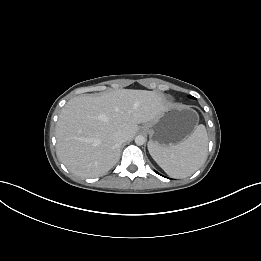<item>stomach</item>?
<instances>
[{"instance_id": "0dacf381", "label": "stomach", "mask_w": 261, "mask_h": 261, "mask_svg": "<svg viewBox=\"0 0 261 261\" xmlns=\"http://www.w3.org/2000/svg\"><path fill=\"white\" fill-rule=\"evenodd\" d=\"M199 122L198 113L183 105H170L156 119L145 123L142 130L150 143L169 148L189 137Z\"/></svg>"}]
</instances>
